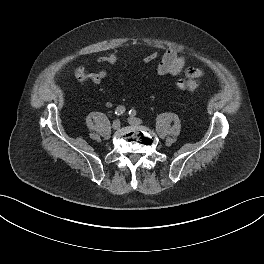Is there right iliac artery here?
Wrapping results in <instances>:
<instances>
[{
    "instance_id": "right-iliac-artery-1",
    "label": "right iliac artery",
    "mask_w": 264,
    "mask_h": 264,
    "mask_svg": "<svg viewBox=\"0 0 264 264\" xmlns=\"http://www.w3.org/2000/svg\"><path fill=\"white\" fill-rule=\"evenodd\" d=\"M125 111H126V109H125L124 106H118V107L115 109V114H116V115H122Z\"/></svg>"
}]
</instances>
